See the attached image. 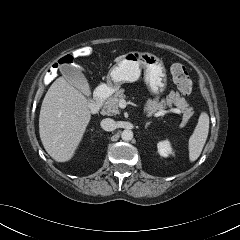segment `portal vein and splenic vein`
Returning <instances> with one entry per match:
<instances>
[{
	"instance_id": "18ae733b",
	"label": "portal vein and splenic vein",
	"mask_w": 240,
	"mask_h": 240,
	"mask_svg": "<svg viewBox=\"0 0 240 240\" xmlns=\"http://www.w3.org/2000/svg\"><path fill=\"white\" fill-rule=\"evenodd\" d=\"M119 105H120V107L124 108V107L126 106V101H125V100H121V101L119 102ZM167 112H169V111L162 110V111L156 113L155 116H163V115H165ZM170 112H174V113H177V114L181 113V111H180L179 109H177V108L171 109Z\"/></svg>"
}]
</instances>
